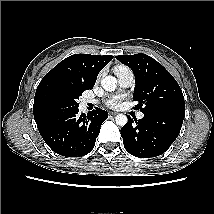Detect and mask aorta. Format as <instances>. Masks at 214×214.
I'll return each instance as SVG.
<instances>
[{"instance_id": "762f6f07", "label": "aorta", "mask_w": 214, "mask_h": 214, "mask_svg": "<svg viewBox=\"0 0 214 214\" xmlns=\"http://www.w3.org/2000/svg\"><path fill=\"white\" fill-rule=\"evenodd\" d=\"M101 86L106 90V91H114L116 86H117V80L113 76H106L101 80ZM128 118L124 114H118L115 117V122L119 126H124L127 124Z\"/></svg>"}]
</instances>
